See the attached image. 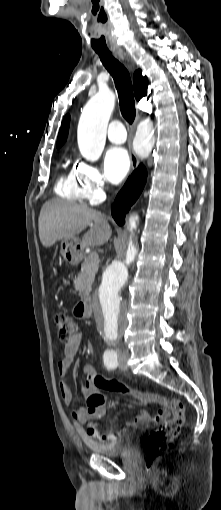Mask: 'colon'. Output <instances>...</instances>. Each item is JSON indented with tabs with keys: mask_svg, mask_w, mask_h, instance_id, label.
<instances>
[{
	"mask_svg": "<svg viewBox=\"0 0 221 510\" xmlns=\"http://www.w3.org/2000/svg\"><path fill=\"white\" fill-rule=\"evenodd\" d=\"M53 325L57 330L59 340L66 344L72 340L78 328L76 321L66 313H57L53 318ZM92 384L96 389L127 395L141 403H153L161 406L156 415V420L161 422V425L147 437L144 445L145 468L150 471L156 459L166 451L169 443L179 435L185 421L184 404L178 399H166L153 394L142 393L101 374H95L92 377ZM103 402L104 397L99 394H92L86 398L88 407ZM169 415H171L170 418H168Z\"/></svg>",
	"mask_w": 221,
	"mask_h": 510,
	"instance_id": "obj_1",
	"label": "colon"
}]
</instances>
